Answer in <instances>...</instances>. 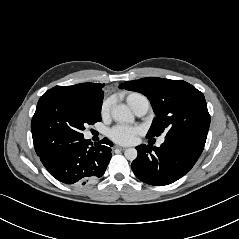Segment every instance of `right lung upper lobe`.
Instances as JSON below:
<instances>
[{
	"label": "right lung upper lobe",
	"instance_id": "obj_1",
	"mask_svg": "<svg viewBox=\"0 0 239 239\" xmlns=\"http://www.w3.org/2000/svg\"><path fill=\"white\" fill-rule=\"evenodd\" d=\"M66 87L79 92L88 93L96 97H102L103 96L102 88L104 87V84L82 83V84L66 86Z\"/></svg>",
	"mask_w": 239,
	"mask_h": 239
}]
</instances>
